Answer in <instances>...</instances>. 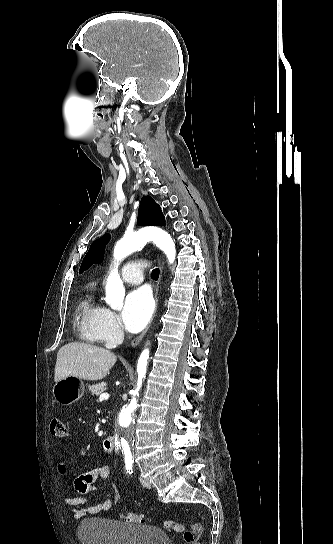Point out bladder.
<instances>
[{
  "instance_id": "obj_1",
  "label": "bladder",
  "mask_w": 333,
  "mask_h": 544,
  "mask_svg": "<svg viewBox=\"0 0 333 544\" xmlns=\"http://www.w3.org/2000/svg\"><path fill=\"white\" fill-rule=\"evenodd\" d=\"M77 536L81 544H169L168 535L160 528L106 518L82 520Z\"/></svg>"
}]
</instances>
